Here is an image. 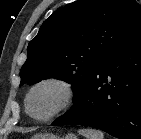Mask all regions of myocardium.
<instances>
[{
    "label": "myocardium",
    "mask_w": 141,
    "mask_h": 139,
    "mask_svg": "<svg viewBox=\"0 0 141 139\" xmlns=\"http://www.w3.org/2000/svg\"><path fill=\"white\" fill-rule=\"evenodd\" d=\"M44 85L57 86L62 91L63 96H62L61 103L53 112H51L47 116L38 117L31 113L29 102H30V98L32 94L34 93V91ZM75 97H76V91L71 82L61 77L47 76V77L39 79L29 88L25 96V101H24L25 110H26V113L29 115V117H31L32 119L39 121V122H47V121H50L56 118L57 116L62 114L64 111H66L68 108H70L75 100Z\"/></svg>",
    "instance_id": "f54148a6"
}]
</instances>
